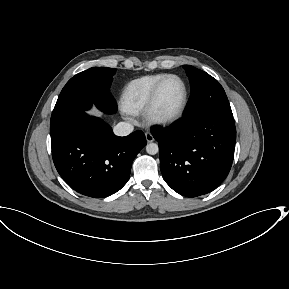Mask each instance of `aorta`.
Masks as SVG:
<instances>
[{
	"instance_id": "762f6f07",
	"label": "aorta",
	"mask_w": 289,
	"mask_h": 289,
	"mask_svg": "<svg viewBox=\"0 0 289 289\" xmlns=\"http://www.w3.org/2000/svg\"><path fill=\"white\" fill-rule=\"evenodd\" d=\"M146 152L150 155H155L159 152V147L156 143H149L146 146Z\"/></svg>"
}]
</instances>
